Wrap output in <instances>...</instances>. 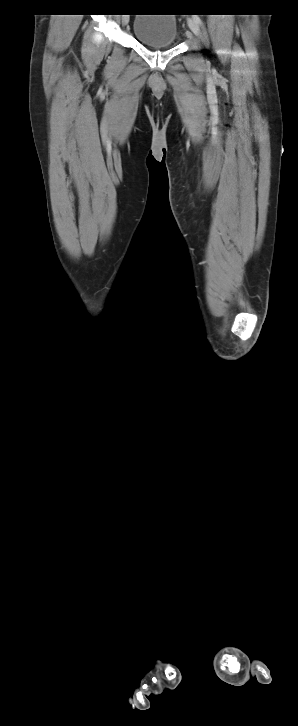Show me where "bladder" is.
Returning <instances> with one entry per match:
<instances>
[{"instance_id":"obj_1","label":"bladder","mask_w":298,"mask_h":726,"mask_svg":"<svg viewBox=\"0 0 298 726\" xmlns=\"http://www.w3.org/2000/svg\"><path fill=\"white\" fill-rule=\"evenodd\" d=\"M133 35L150 48H170L178 39L177 21L172 14H137Z\"/></svg>"}]
</instances>
